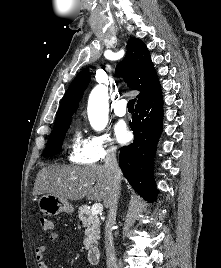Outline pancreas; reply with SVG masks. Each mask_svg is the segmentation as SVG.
Wrapping results in <instances>:
<instances>
[{"label":"pancreas","instance_id":"pancreas-1","mask_svg":"<svg viewBox=\"0 0 221 268\" xmlns=\"http://www.w3.org/2000/svg\"><path fill=\"white\" fill-rule=\"evenodd\" d=\"M78 218L85 227V238L83 244L86 249L92 248L100 238V219L92 215L87 205L79 207Z\"/></svg>","mask_w":221,"mask_h":268}]
</instances>
